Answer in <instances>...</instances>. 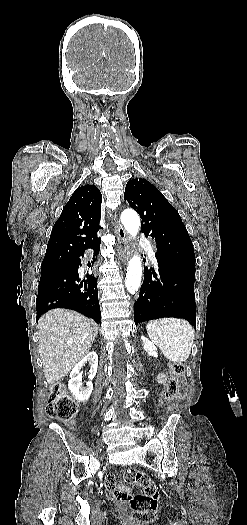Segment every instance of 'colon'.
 Returning a JSON list of instances; mask_svg holds the SVG:
<instances>
[{
	"mask_svg": "<svg viewBox=\"0 0 247 525\" xmlns=\"http://www.w3.org/2000/svg\"><path fill=\"white\" fill-rule=\"evenodd\" d=\"M185 365L182 362H173L170 365V374L166 385L167 399L173 401L184 394ZM46 415L64 422L72 421L78 407L74 399L66 392L62 382H55L51 387V395L46 404ZM126 483L138 486L140 491L129 498L134 509V517L144 523H151L157 516V501L159 497L158 485L146 474L134 469L125 472Z\"/></svg>",
	"mask_w": 247,
	"mask_h": 525,
	"instance_id": "obj_1",
	"label": "colon"
}]
</instances>
